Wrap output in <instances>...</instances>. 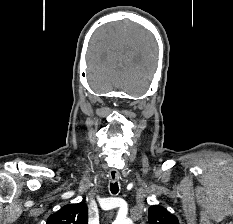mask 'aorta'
<instances>
[{
	"label": "aorta",
	"instance_id": "aorta-1",
	"mask_svg": "<svg viewBox=\"0 0 233 224\" xmlns=\"http://www.w3.org/2000/svg\"><path fill=\"white\" fill-rule=\"evenodd\" d=\"M113 224H133V222L129 218L119 215Z\"/></svg>",
	"mask_w": 233,
	"mask_h": 224
}]
</instances>
